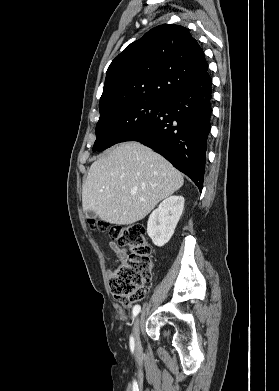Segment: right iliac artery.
Here are the masks:
<instances>
[{
  "instance_id": "1",
  "label": "right iliac artery",
  "mask_w": 279,
  "mask_h": 391,
  "mask_svg": "<svg viewBox=\"0 0 279 391\" xmlns=\"http://www.w3.org/2000/svg\"><path fill=\"white\" fill-rule=\"evenodd\" d=\"M140 309H141L140 305H135V306L133 307V311H132V312H133V316H134V317L140 312ZM130 343H131V345L134 344L133 337H131Z\"/></svg>"
}]
</instances>
